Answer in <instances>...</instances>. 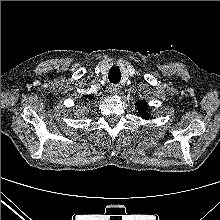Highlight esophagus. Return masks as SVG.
<instances>
[{"label": "esophagus", "mask_w": 220, "mask_h": 220, "mask_svg": "<svg viewBox=\"0 0 220 220\" xmlns=\"http://www.w3.org/2000/svg\"><path fill=\"white\" fill-rule=\"evenodd\" d=\"M109 90L111 94H117L119 92V85L111 84Z\"/></svg>", "instance_id": "esophagus-1"}]
</instances>
